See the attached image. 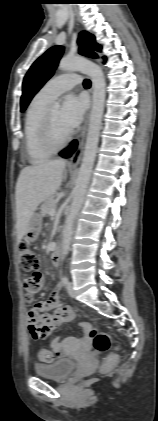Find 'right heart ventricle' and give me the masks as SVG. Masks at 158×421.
Listing matches in <instances>:
<instances>
[{"label":"right heart ventricle","instance_id":"e07e8e85","mask_svg":"<svg viewBox=\"0 0 158 421\" xmlns=\"http://www.w3.org/2000/svg\"><path fill=\"white\" fill-rule=\"evenodd\" d=\"M49 103V100L37 94L31 101L25 115V151L32 164L43 163L54 153L44 146L41 137L42 123Z\"/></svg>","mask_w":158,"mask_h":421}]
</instances>
